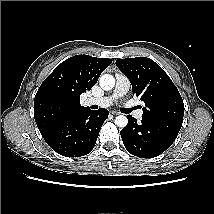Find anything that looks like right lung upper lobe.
Masks as SVG:
<instances>
[{
    "label": "right lung upper lobe",
    "mask_w": 214,
    "mask_h": 214,
    "mask_svg": "<svg viewBox=\"0 0 214 214\" xmlns=\"http://www.w3.org/2000/svg\"><path fill=\"white\" fill-rule=\"evenodd\" d=\"M112 59L76 55L59 64L43 81L34 100V118L45 135L67 117L88 109L80 95L90 90Z\"/></svg>",
    "instance_id": "obj_1"
}]
</instances>
